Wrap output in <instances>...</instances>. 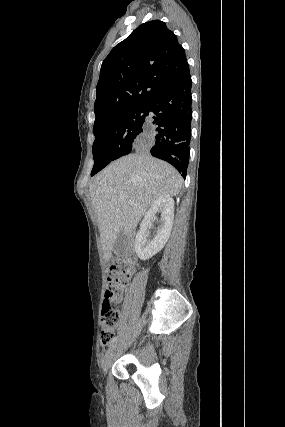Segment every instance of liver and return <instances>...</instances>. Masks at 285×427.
Returning <instances> with one entry per match:
<instances>
[{"label": "liver", "instance_id": "1", "mask_svg": "<svg viewBox=\"0 0 285 427\" xmlns=\"http://www.w3.org/2000/svg\"><path fill=\"white\" fill-rule=\"evenodd\" d=\"M181 187V175L174 167L144 152L124 156L102 170L90 184L89 194L105 260L111 258L120 232L131 235L155 200L176 196Z\"/></svg>", "mask_w": 285, "mask_h": 427}]
</instances>
